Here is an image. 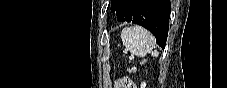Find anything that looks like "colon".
<instances>
[{
	"label": "colon",
	"mask_w": 227,
	"mask_h": 88,
	"mask_svg": "<svg viewBox=\"0 0 227 88\" xmlns=\"http://www.w3.org/2000/svg\"><path fill=\"white\" fill-rule=\"evenodd\" d=\"M123 87H125V88H136L135 85L132 82H130V81L126 82L123 85Z\"/></svg>",
	"instance_id": "1"
}]
</instances>
